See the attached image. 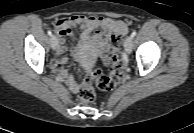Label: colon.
<instances>
[{
  "label": "colon",
  "mask_w": 194,
  "mask_h": 133,
  "mask_svg": "<svg viewBox=\"0 0 194 133\" xmlns=\"http://www.w3.org/2000/svg\"><path fill=\"white\" fill-rule=\"evenodd\" d=\"M122 40L121 35H114L111 38L112 51L107 56V59L111 64L109 74L105 75L101 70L95 69L89 75V80H92L100 90L110 91L114 89L122 79ZM94 97V89L89 84L84 86L79 92V100L83 104L92 102Z\"/></svg>",
  "instance_id": "colon-1"
}]
</instances>
